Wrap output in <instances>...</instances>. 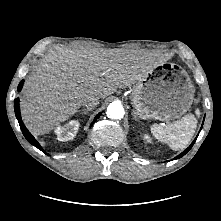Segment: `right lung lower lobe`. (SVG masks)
<instances>
[{"mask_svg": "<svg viewBox=\"0 0 221 221\" xmlns=\"http://www.w3.org/2000/svg\"><path fill=\"white\" fill-rule=\"evenodd\" d=\"M23 82L24 80L21 81V83L19 84L18 86V91H20L22 89V86H23ZM14 110H15V114H16V117L18 119V122H19V125H20V128L22 130V133L23 135L25 136V138L32 144L34 145L35 147H37L38 149L41 150V146L40 144L36 141V139L30 134V132L28 131V129L25 127L24 123L22 122V119H21V115H20V108H19V99H15V105H14ZM101 113H99L95 119L97 120L99 117H100Z\"/></svg>", "mask_w": 221, "mask_h": 221, "instance_id": "1", "label": "right lung lower lobe"}]
</instances>
